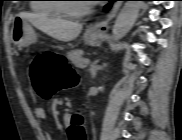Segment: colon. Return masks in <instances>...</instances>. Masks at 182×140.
Returning <instances> with one entry per match:
<instances>
[{
    "label": "colon",
    "mask_w": 182,
    "mask_h": 140,
    "mask_svg": "<svg viewBox=\"0 0 182 140\" xmlns=\"http://www.w3.org/2000/svg\"><path fill=\"white\" fill-rule=\"evenodd\" d=\"M30 78L37 95L49 99L58 91L72 88L77 79L74 71L64 57H35L29 67ZM68 140H88L86 118L82 110H76L69 119L67 126Z\"/></svg>",
    "instance_id": "colon-1"
}]
</instances>
